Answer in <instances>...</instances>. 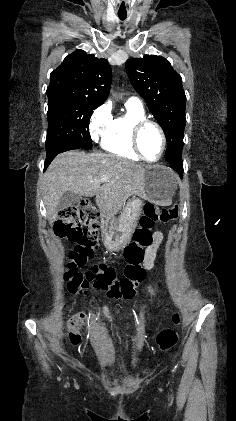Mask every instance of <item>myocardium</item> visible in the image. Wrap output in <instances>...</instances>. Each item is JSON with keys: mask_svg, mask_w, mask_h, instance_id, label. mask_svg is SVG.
<instances>
[{"mask_svg": "<svg viewBox=\"0 0 236 421\" xmlns=\"http://www.w3.org/2000/svg\"><path fill=\"white\" fill-rule=\"evenodd\" d=\"M147 125H151L154 128H156V130L159 132L160 136H161V140H162V150H161V154L159 156L158 159L156 160H150L148 159L142 152L141 148H140V133L142 131V129L147 126ZM131 141H132V145L134 148V151L136 152V154L139 156L140 159H142L143 161L147 162V163H158L162 160V158L164 157V154L166 152V148H167V137L166 134L163 130V128L155 121L153 120H149L146 118L140 119L138 121H136L131 128Z\"/></svg>", "mask_w": 236, "mask_h": 421, "instance_id": "1", "label": "myocardium"}]
</instances>
